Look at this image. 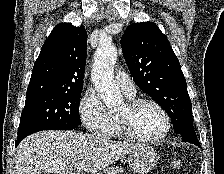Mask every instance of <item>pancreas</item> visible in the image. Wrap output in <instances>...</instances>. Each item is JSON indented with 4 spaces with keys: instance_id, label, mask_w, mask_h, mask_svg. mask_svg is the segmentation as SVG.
Here are the masks:
<instances>
[{
    "instance_id": "pancreas-1",
    "label": "pancreas",
    "mask_w": 224,
    "mask_h": 174,
    "mask_svg": "<svg viewBox=\"0 0 224 174\" xmlns=\"http://www.w3.org/2000/svg\"><path fill=\"white\" fill-rule=\"evenodd\" d=\"M124 170L121 167H110L104 171V174H123Z\"/></svg>"
}]
</instances>
